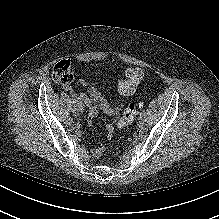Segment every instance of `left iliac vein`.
<instances>
[{"label":"left iliac vein","mask_w":219,"mask_h":219,"mask_svg":"<svg viewBox=\"0 0 219 219\" xmlns=\"http://www.w3.org/2000/svg\"><path fill=\"white\" fill-rule=\"evenodd\" d=\"M146 122V115L143 113H140V116L138 118L139 125H144Z\"/></svg>","instance_id":"left-iliac-vein-1"}]
</instances>
